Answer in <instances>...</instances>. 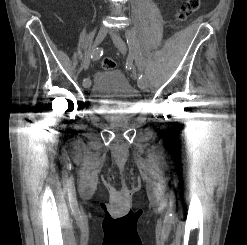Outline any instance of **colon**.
<instances>
[{
    "label": "colon",
    "instance_id": "1",
    "mask_svg": "<svg viewBox=\"0 0 247 245\" xmlns=\"http://www.w3.org/2000/svg\"><path fill=\"white\" fill-rule=\"evenodd\" d=\"M200 7V0H182L177 12V18L180 21H185L193 13H195ZM102 67L104 69H114L116 62L113 59L105 58L102 61Z\"/></svg>",
    "mask_w": 247,
    "mask_h": 245
}]
</instances>
